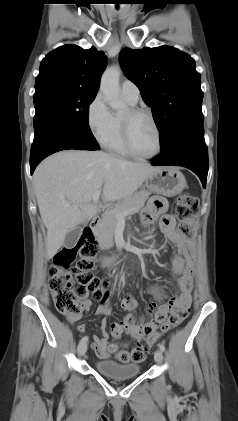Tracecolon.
Segmentation results:
<instances>
[{
    "label": "colon",
    "instance_id": "obj_1",
    "mask_svg": "<svg viewBox=\"0 0 238 421\" xmlns=\"http://www.w3.org/2000/svg\"><path fill=\"white\" fill-rule=\"evenodd\" d=\"M197 199L183 194L177 199L176 217L179 232L190 242L195 236ZM98 248L90 233H84L75 246L63 247L53 258L49 287L56 309L67 317L81 315L86 309V297L92 294L96 301L103 300L108 282L94 274ZM75 265L72 267V264ZM188 316V309L174 308L161 331L142 337L131 351L119 350L115 356L121 363H139L145 359L150 346L161 333L179 326Z\"/></svg>",
    "mask_w": 238,
    "mask_h": 421
}]
</instances>
